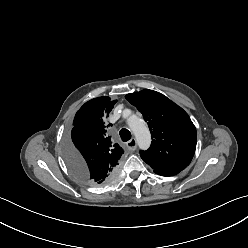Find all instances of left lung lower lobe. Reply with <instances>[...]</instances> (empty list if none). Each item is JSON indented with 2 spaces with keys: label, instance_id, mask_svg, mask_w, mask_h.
<instances>
[{
  "label": "left lung lower lobe",
  "instance_id": "left-lung-lower-lobe-1",
  "mask_svg": "<svg viewBox=\"0 0 248 248\" xmlns=\"http://www.w3.org/2000/svg\"><path fill=\"white\" fill-rule=\"evenodd\" d=\"M156 174L161 175V176H173L178 174L180 171H170V172H157L154 171Z\"/></svg>",
  "mask_w": 248,
  "mask_h": 248
}]
</instances>
